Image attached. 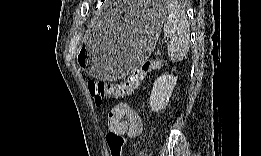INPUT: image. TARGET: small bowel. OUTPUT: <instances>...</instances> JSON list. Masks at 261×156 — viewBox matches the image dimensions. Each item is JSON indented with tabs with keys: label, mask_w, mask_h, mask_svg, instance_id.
Returning a JSON list of instances; mask_svg holds the SVG:
<instances>
[{
	"label": "small bowel",
	"mask_w": 261,
	"mask_h": 156,
	"mask_svg": "<svg viewBox=\"0 0 261 156\" xmlns=\"http://www.w3.org/2000/svg\"><path fill=\"white\" fill-rule=\"evenodd\" d=\"M109 132L134 138L142 131L139 114L127 103L114 105L107 116Z\"/></svg>",
	"instance_id": "1"
}]
</instances>
